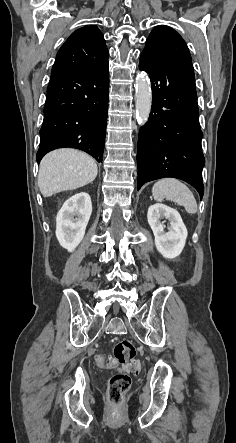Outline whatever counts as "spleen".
Returning a JSON list of instances; mask_svg holds the SVG:
<instances>
[{"label": "spleen", "instance_id": "3e777b00", "mask_svg": "<svg viewBox=\"0 0 236 443\" xmlns=\"http://www.w3.org/2000/svg\"><path fill=\"white\" fill-rule=\"evenodd\" d=\"M152 194L156 201L164 198L183 206L189 214L197 212V202L191 190L182 182L174 178H164L157 181L152 187Z\"/></svg>", "mask_w": 236, "mask_h": 443}]
</instances>
